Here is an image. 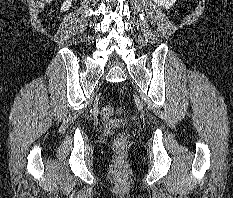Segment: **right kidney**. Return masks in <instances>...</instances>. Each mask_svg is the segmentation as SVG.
Instances as JSON below:
<instances>
[{"label": "right kidney", "instance_id": "1", "mask_svg": "<svg viewBox=\"0 0 233 198\" xmlns=\"http://www.w3.org/2000/svg\"><path fill=\"white\" fill-rule=\"evenodd\" d=\"M72 1L73 0H66L61 6V11H67L71 6Z\"/></svg>", "mask_w": 233, "mask_h": 198}]
</instances>
